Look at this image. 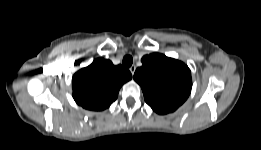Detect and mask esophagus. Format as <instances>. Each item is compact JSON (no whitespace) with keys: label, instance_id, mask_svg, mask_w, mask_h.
Masks as SVG:
<instances>
[{"label":"esophagus","instance_id":"1","mask_svg":"<svg viewBox=\"0 0 261 150\" xmlns=\"http://www.w3.org/2000/svg\"><path fill=\"white\" fill-rule=\"evenodd\" d=\"M135 70H136V66H135V65H132V66L129 68V71L131 72L132 75H134Z\"/></svg>","mask_w":261,"mask_h":150}]
</instances>
